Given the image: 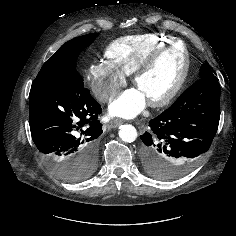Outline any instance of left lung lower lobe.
Returning <instances> with one entry per match:
<instances>
[{
    "instance_id": "1",
    "label": "left lung lower lobe",
    "mask_w": 236,
    "mask_h": 236,
    "mask_svg": "<svg viewBox=\"0 0 236 236\" xmlns=\"http://www.w3.org/2000/svg\"><path fill=\"white\" fill-rule=\"evenodd\" d=\"M219 119V82L214 75L201 78L140 136L144 170L171 179L192 169L209 150Z\"/></svg>"
}]
</instances>
